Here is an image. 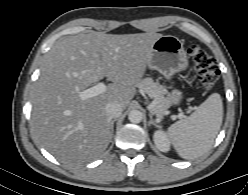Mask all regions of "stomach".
I'll list each match as a JSON object with an SVG mask.
<instances>
[{
  "mask_svg": "<svg viewBox=\"0 0 248 195\" xmlns=\"http://www.w3.org/2000/svg\"><path fill=\"white\" fill-rule=\"evenodd\" d=\"M148 66L159 71L167 80H171L176 73L186 70L188 58L181 40L172 35L162 36L156 40L152 46ZM167 98L170 105H179L183 99V92L174 88L167 94Z\"/></svg>",
  "mask_w": 248,
  "mask_h": 195,
  "instance_id": "0dacf381",
  "label": "stomach"
}]
</instances>
